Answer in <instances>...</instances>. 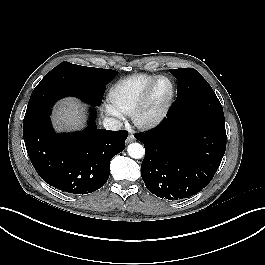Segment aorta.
<instances>
[{
	"mask_svg": "<svg viewBox=\"0 0 265 265\" xmlns=\"http://www.w3.org/2000/svg\"><path fill=\"white\" fill-rule=\"evenodd\" d=\"M127 152L130 157L134 159H141L144 157V147L139 143H131L128 145Z\"/></svg>",
	"mask_w": 265,
	"mask_h": 265,
	"instance_id": "obj_1",
	"label": "aorta"
}]
</instances>
